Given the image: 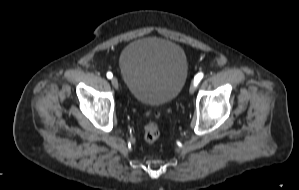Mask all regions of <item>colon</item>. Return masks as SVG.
Wrapping results in <instances>:
<instances>
[{
	"mask_svg": "<svg viewBox=\"0 0 299 190\" xmlns=\"http://www.w3.org/2000/svg\"><path fill=\"white\" fill-rule=\"evenodd\" d=\"M160 136V130L155 122H149L144 128V139L147 143H154Z\"/></svg>",
	"mask_w": 299,
	"mask_h": 190,
	"instance_id": "colon-1",
	"label": "colon"
}]
</instances>
